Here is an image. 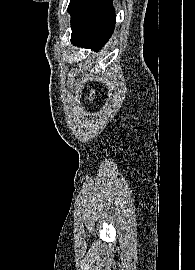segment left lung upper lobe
I'll use <instances>...</instances> for the list:
<instances>
[{"mask_svg": "<svg viewBox=\"0 0 195 270\" xmlns=\"http://www.w3.org/2000/svg\"><path fill=\"white\" fill-rule=\"evenodd\" d=\"M84 0H71L68 6V11L71 15V21L74 19L76 14L78 13L82 3Z\"/></svg>", "mask_w": 195, "mask_h": 270, "instance_id": "1", "label": "left lung upper lobe"}]
</instances>
